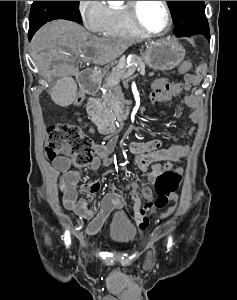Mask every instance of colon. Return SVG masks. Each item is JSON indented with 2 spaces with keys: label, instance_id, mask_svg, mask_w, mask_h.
<instances>
[{
  "label": "colon",
  "instance_id": "1",
  "mask_svg": "<svg viewBox=\"0 0 237 300\" xmlns=\"http://www.w3.org/2000/svg\"><path fill=\"white\" fill-rule=\"evenodd\" d=\"M192 67L190 61H184L180 65V71L187 73ZM191 75L186 74L185 82L189 83ZM177 88V84L166 83L150 94L151 103L162 101ZM45 155L54 160L60 153L71 156L75 168L89 165L94 159L95 145L93 141L77 126L73 124L60 123L51 125L46 129ZM182 174L177 170H164L157 173L152 180L156 191V198L152 201V192L149 185H143L140 189L141 195L148 200L151 208H164L169 200H176V191Z\"/></svg>",
  "mask_w": 237,
  "mask_h": 300
}]
</instances>
